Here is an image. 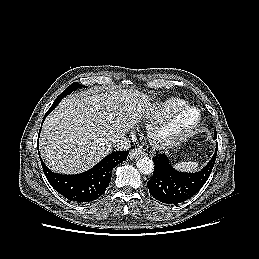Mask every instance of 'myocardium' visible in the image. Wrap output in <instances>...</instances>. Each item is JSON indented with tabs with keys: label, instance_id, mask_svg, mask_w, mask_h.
<instances>
[{
	"label": "myocardium",
	"instance_id": "myocardium-1",
	"mask_svg": "<svg viewBox=\"0 0 259 259\" xmlns=\"http://www.w3.org/2000/svg\"><path fill=\"white\" fill-rule=\"evenodd\" d=\"M200 120L201 113L198 108L184 105L152 125L149 129V139L159 147L171 146L188 137L199 125Z\"/></svg>",
	"mask_w": 259,
	"mask_h": 259
}]
</instances>
